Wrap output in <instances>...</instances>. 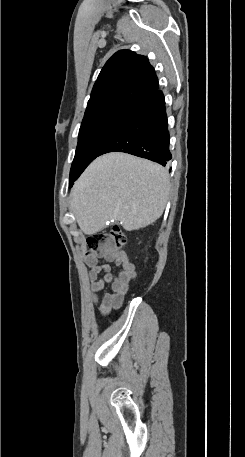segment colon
<instances>
[{"label":"colon","instance_id":"obj_1","mask_svg":"<svg viewBox=\"0 0 245 457\" xmlns=\"http://www.w3.org/2000/svg\"><path fill=\"white\" fill-rule=\"evenodd\" d=\"M127 242L123 230L117 226H111L107 230L90 235L87 239L88 255L105 257L118 252Z\"/></svg>","mask_w":245,"mask_h":457}]
</instances>
